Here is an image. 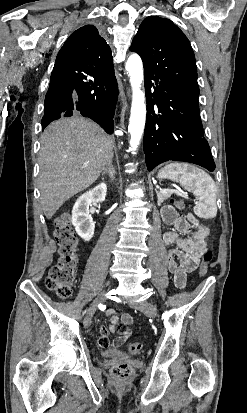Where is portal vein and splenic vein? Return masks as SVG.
Listing matches in <instances>:
<instances>
[{
    "instance_id": "obj_1",
    "label": "portal vein and splenic vein",
    "mask_w": 247,
    "mask_h": 413,
    "mask_svg": "<svg viewBox=\"0 0 247 413\" xmlns=\"http://www.w3.org/2000/svg\"><path fill=\"white\" fill-rule=\"evenodd\" d=\"M155 182H156V180H155ZM160 190H161V192H166V190H171V191H172V188H160ZM175 191H176V192H175ZM172 192H173V193L175 192L176 194H178L179 197H184L185 200H188V199H189V201H192V198H189V196L186 195L187 192H183L182 190L179 191L178 189L173 190Z\"/></svg>"
}]
</instances>
